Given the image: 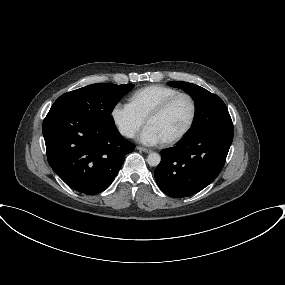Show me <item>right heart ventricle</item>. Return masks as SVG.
I'll list each match as a JSON object with an SVG mask.
<instances>
[{"label": "right heart ventricle", "instance_id": "obj_1", "mask_svg": "<svg viewBox=\"0 0 285 285\" xmlns=\"http://www.w3.org/2000/svg\"><path fill=\"white\" fill-rule=\"evenodd\" d=\"M179 93L172 87L164 85H149L136 90L130 96V104L144 119L148 114L167 98Z\"/></svg>", "mask_w": 285, "mask_h": 285}]
</instances>
